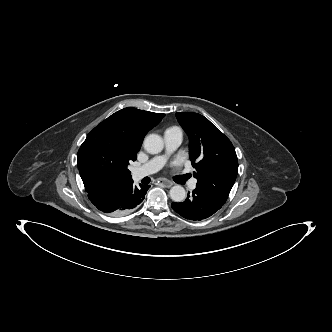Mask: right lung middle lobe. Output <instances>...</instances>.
Listing matches in <instances>:
<instances>
[{"instance_id":"dd1d6c3e","label":"right lung middle lobe","mask_w":332,"mask_h":332,"mask_svg":"<svg viewBox=\"0 0 332 332\" xmlns=\"http://www.w3.org/2000/svg\"><path fill=\"white\" fill-rule=\"evenodd\" d=\"M139 149L125 120L108 117L88 134L78 151L83 183L117 184L132 179L127 167Z\"/></svg>"}]
</instances>
